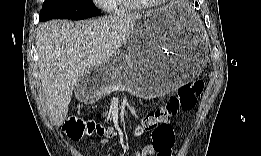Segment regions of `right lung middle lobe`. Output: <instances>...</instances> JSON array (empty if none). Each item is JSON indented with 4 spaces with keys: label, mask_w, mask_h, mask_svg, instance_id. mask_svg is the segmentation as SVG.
Masks as SVG:
<instances>
[{
    "label": "right lung middle lobe",
    "mask_w": 261,
    "mask_h": 156,
    "mask_svg": "<svg viewBox=\"0 0 261 156\" xmlns=\"http://www.w3.org/2000/svg\"><path fill=\"white\" fill-rule=\"evenodd\" d=\"M101 13L91 0H45L39 16L40 21L50 19L80 20Z\"/></svg>",
    "instance_id": "right-lung-middle-lobe-1"
}]
</instances>
